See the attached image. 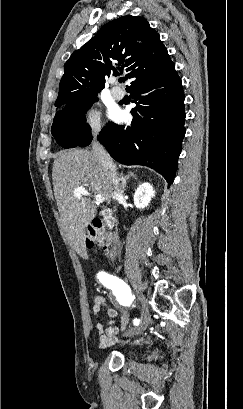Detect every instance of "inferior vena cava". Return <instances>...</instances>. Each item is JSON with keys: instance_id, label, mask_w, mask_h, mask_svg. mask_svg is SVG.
Segmentation results:
<instances>
[{"instance_id": "602c4592", "label": "inferior vena cava", "mask_w": 243, "mask_h": 409, "mask_svg": "<svg viewBox=\"0 0 243 409\" xmlns=\"http://www.w3.org/2000/svg\"><path fill=\"white\" fill-rule=\"evenodd\" d=\"M92 154L98 160V162L102 165L104 170L107 172L109 183H110L111 196L114 200L117 199L123 193L120 187V183H119L120 178L116 172V168H115V165L111 157L106 152L103 145H101L97 141L96 138L92 142ZM116 254H117V248L114 245L112 246V249H111V256L114 258Z\"/></svg>"}]
</instances>
